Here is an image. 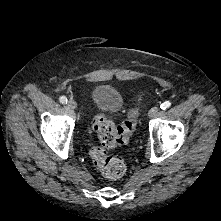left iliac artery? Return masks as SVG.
<instances>
[{"mask_svg":"<svg viewBox=\"0 0 221 221\" xmlns=\"http://www.w3.org/2000/svg\"><path fill=\"white\" fill-rule=\"evenodd\" d=\"M170 106H171V102L170 101H165L164 103H162L160 105V108L165 110V109L169 108Z\"/></svg>","mask_w":221,"mask_h":221,"instance_id":"obj_1","label":"left iliac artery"}]
</instances>
